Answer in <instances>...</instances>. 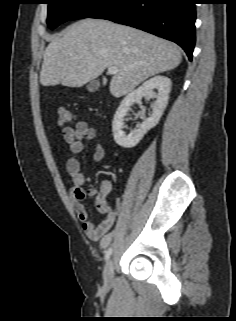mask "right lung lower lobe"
<instances>
[{
    "instance_id": "98d812e1",
    "label": "right lung lower lobe",
    "mask_w": 236,
    "mask_h": 321,
    "mask_svg": "<svg viewBox=\"0 0 236 321\" xmlns=\"http://www.w3.org/2000/svg\"><path fill=\"white\" fill-rule=\"evenodd\" d=\"M196 0H111L90 18L132 26L180 45L192 59Z\"/></svg>"
}]
</instances>
